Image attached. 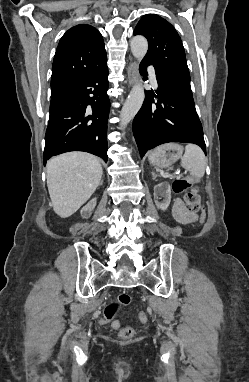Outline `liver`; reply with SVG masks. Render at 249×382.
I'll list each match as a JSON object with an SVG mask.
<instances>
[{"label":"liver","mask_w":249,"mask_h":382,"mask_svg":"<svg viewBox=\"0 0 249 382\" xmlns=\"http://www.w3.org/2000/svg\"><path fill=\"white\" fill-rule=\"evenodd\" d=\"M47 186L53 210L62 218L73 215L92 196L102 177L97 157L69 152L47 162Z\"/></svg>","instance_id":"6515ba94"}]
</instances>
